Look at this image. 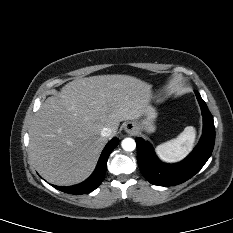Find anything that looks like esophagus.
Wrapping results in <instances>:
<instances>
[{
	"label": "esophagus",
	"mask_w": 233,
	"mask_h": 233,
	"mask_svg": "<svg viewBox=\"0 0 233 233\" xmlns=\"http://www.w3.org/2000/svg\"><path fill=\"white\" fill-rule=\"evenodd\" d=\"M125 131L129 134H134L136 132V126L134 123L132 122H128L125 127H124Z\"/></svg>",
	"instance_id": "esophagus-1"
}]
</instances>
